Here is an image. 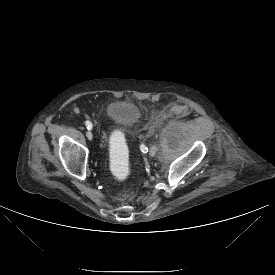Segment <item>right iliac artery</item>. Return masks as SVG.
Instances as JSON below:
<instances>
[{
  "mask_svg": "<svg viewBox=\"0 0 275 275\" xmlns=\"http://www.w3.org/2000/svg\"><path fill=\"white\" fill-rule=\"evenodd\" d=\"M85 125H86V127H87L88 130H91V129H92V123H91V122L86 121V122H85Z\"/></svg>",
  "mask_w": 275,
  "mask_h": 275,
  "instance_id": "obj_1",
  "label": "right iliac artery"
}]
</instances>
